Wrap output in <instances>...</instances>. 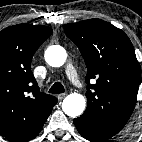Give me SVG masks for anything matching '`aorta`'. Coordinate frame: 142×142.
<instances>
[{
	"instance_id": "762f6f07",
	"label": "aorta",
	"mask_w": 142,
	"mask_h": 142,
	"mask_svg": "<svg viewBox=\"0 0 142 142\" xmlns=\"http://www.w3.org/2000/svg\"><path fill=\"white\" fill-rule=\"evenodd\" d=\"M67 59L66 50L60 45H52L45 51V61L52 67L62 66ZM86 108V100L83 95L72 93L62 102L64 113L70 117L80 116Z\"/></svg>"
}]
</instances>
